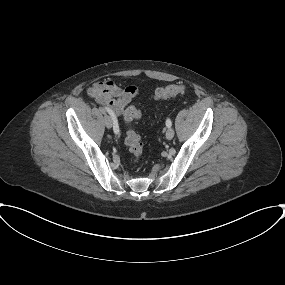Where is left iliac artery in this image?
Segmentation results:
<instances>
[{"label": "left iliac artery", "mask_w": 285, "mask_h": 285, "mask_svg": "<svg viewBox=\"0 0 285 285\" xmlns=\"http://www.w3.org/2000/svg\"><path fill=\"white\" fill-rule=\"evenodd\" d=\"M166 126L168 128L172 126V122H171V120L169 118L166 120Z\"/></svg>", "instance_id": "left-iliac-artery-1"}]
</instances>
